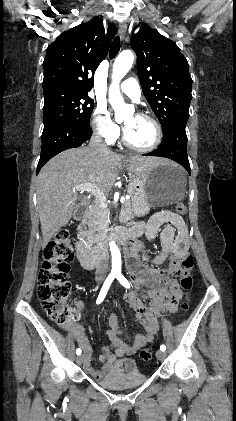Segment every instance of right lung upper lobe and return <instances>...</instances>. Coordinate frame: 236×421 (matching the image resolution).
I'll return each mask as SVG.
<instances>
[{
  "label": "right lung upper lobe",
  "mask_w": 236,
  "mask_h": 421,
  "mask_svg": "<svg viewBox=\"0 0 236 421\" xmlns=\"http://www.w3.org/2000/svg\"><path fill=\"white\" fill-rule=\"evenodd\" d=\"M116 32V26L109 24L105 35L102 20L94 17L60 34L48 46L44 58L43 89L88 93L94 85L90 74L107 56Z\"/></svg>",
  "instance_id": "obj_1"
}]
</instances>
